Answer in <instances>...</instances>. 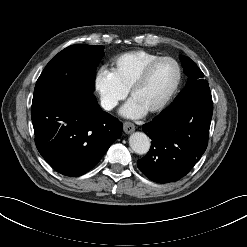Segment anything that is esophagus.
Wrapping results in <instances>:
<instances>
[{
  "mask_svg": "<svg viewBox=\"0 0 247 247\" xmlns=\"http://www.w3.org/2000/svg\"><path fill=\"white\" fill-rule=\"evenodd\" d=\"M123 130L125 133L130 134L135 130V125L131 122H124L123 123Z\"/></svg>",
  "mask_w": 247,
  "mask_h": 247,
  "instance_id": "obj_1",
  "label": "esophagus"
}]
</instances>
